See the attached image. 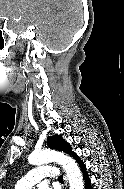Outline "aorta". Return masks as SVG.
<instances>
[{
    "label": "aorta",
    "mask_w": 124,
    "mask_h": 189,
    "mask_svg": "<svg viewBox=\"0 0 124 189\" xmlns=\"http://www.w3.org/2000/svg\"><path fill=\"white\" fill-rule=\"evenodd\" d=\"M28 161L32 165L57 162L62 165L67 174L70 189H83L84 187L82 174L75 160L63 153L54 150L34 151L29 155Z\"/></svg>",
    "instance_id": "762f6f07"
}]
</instances>
